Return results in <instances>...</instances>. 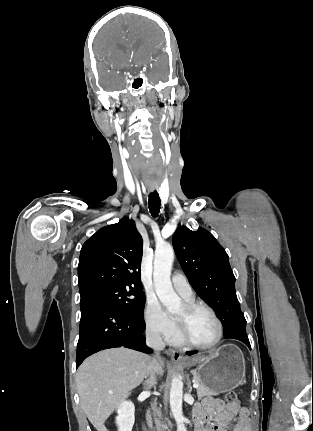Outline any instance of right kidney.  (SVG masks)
<instances>
[{
    "label": "right kidney",
    "instance_id": "right-kidney-1",
    "mask_svg": "<svg viewBox=\"0 0 313 431\" xmlns=\"http://www.w3.org/2000/svg\"><path fill=\"white\" fill-rule=\"evenodd\" d=\"M135 407L130 401H122L117 409L116 424L118 431H132L135 421Z\"/></svg>",
    "mask_w": 313,
    "mask_h": 431
}]
</instances>
